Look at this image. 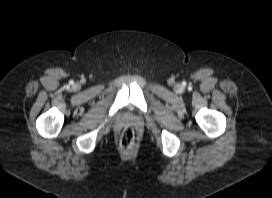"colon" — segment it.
Returning a JSON list of instances; mask_svg holds the SVG:
<instances>
[{
  "label": "colon",
  "instance_id": "5ec220e1",
  "mask_svg": "<svg viewBox=\"0 0 272 198\" xmlns=\"http://www.w3.org/2000/svg\"><path fill=\"white\" fill-rule=\"evenodd\" d=\"M134 142H135V133L133 128L131 127L124 128L120 135V145L124 149H128L134 145Z\"/></svg>",
  "mask_w": 272,
  "mask_h": 198
}]
</instances>
